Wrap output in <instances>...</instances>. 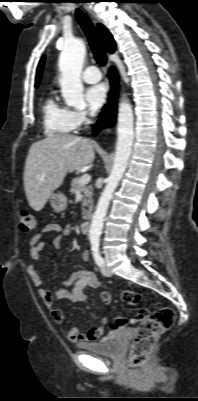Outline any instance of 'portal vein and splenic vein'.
<instances>
[{
	"instance_id": "obj_1",
	"label": "portal vein and splenic vein",
	"mask_w": 198,
	"mask_h": 401,
	"mask_svg": "<svg viewBox=\"0 0 198 401\" xmlns=\"http://www.w3.org/2000/svg\"><path fill=\"white\" fill-rule=\"evenodd\" d=\"M90 181V175L89 174H84L81 176L79 183L80 185H86L88 184Z\"/></svg>"
}]
</instances>
